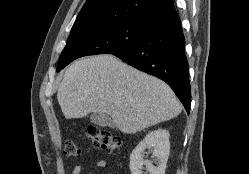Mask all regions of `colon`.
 Returning <instances> with one entry per match:
<instances>
[{"instance_id":"1","label":"colon","mask_w":249,"mask_h":174,"mask_svg":"<svg viewBox=\"0 0 249 174\" xmlns=\"http://www.w3.org/2000/svg\"><path fill=\"white\" fill-rule=\"evenodd\" d=\"M85 135L94 148L104 149L109 153L118 151L122 145L120 136L97 126H90ZM64 153L67 156L78 157L80 149L72 139H67L64 142Z\"/></svg>"}]
</instances>
